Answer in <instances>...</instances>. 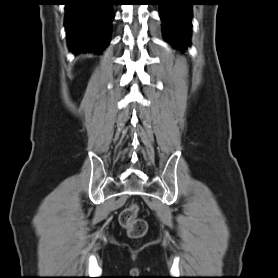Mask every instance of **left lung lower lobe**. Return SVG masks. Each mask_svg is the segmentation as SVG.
<instances>
[{
	"label": "left lung lower lobe",
	"mask_w": 278,
	"mask_h": 278,
	"mask_svg": "<svg viewBox=\"0 0 278 278\" xmlns=\"http://www.w3.org/2000/svg\"><path fill=\"white\" fill-rule=\"evenodd\" d=\"M163 33L176 48L186 49L190 39L193 0H158Z\"/></svg>",
	"instance_id": "0a47b994"
}]
</instances>
